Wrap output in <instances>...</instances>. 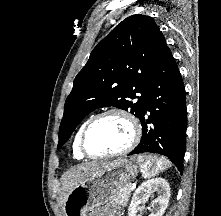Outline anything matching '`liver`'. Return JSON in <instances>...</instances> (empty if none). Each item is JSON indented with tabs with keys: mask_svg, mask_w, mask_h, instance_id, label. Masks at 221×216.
I'll use <instances>...</instances> for the list:
<instances>
[{
	"mask_svg": "<svg viewBox=\"0 0 221 216\" xmlns=\"http://www.w3.org/2000/svg\"><path fill=\"white\" fill-rule=\"evenodd\" d=\"M103 165H105V163L90 162L78 165L77 167H73L70 170H68L62 176L61 180V204L64 205L68 194L73 190L74 187H76L81 181H83L86 177L91 175Z\"/></svg>",
	"mask_w": 221,
	"mask_h": 216,
	"instance_id": "6515ba94",
	"label": "liver"
}]
</instances>
